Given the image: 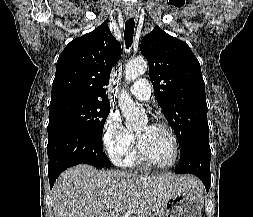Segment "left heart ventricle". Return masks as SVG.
Segmentation results:
<instances>
[{"instance_id":"b2bd125f","label":"left heart ventricle","mask_w":253,"mask_h":217,"mask_svg":"<svg viewBox=\"0 0 253 217\" xmlns=\"http://www.w3.org/2000/svg\"><path fill=\"white\" fill-rule=\"evenodd\" d=\"M136 134L145 154L152 162L165 165L171 161L174 151L173 142L165 129L144 122L136 129Z\"/></svg>"}]
</instances>
